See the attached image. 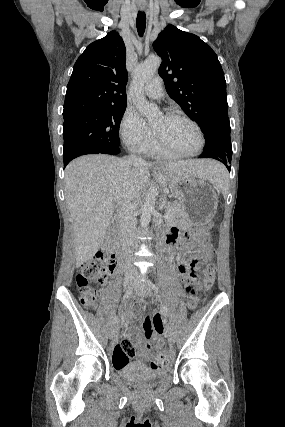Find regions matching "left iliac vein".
<instances>
[{"label": "left iliac vein", "mask_w": 285, "mask_h": 427, "mask_svg": "<svg viewBox=\"0 0 285 427\" xmlns=\"http://www.w3.org/2000/svg\"><path fill=\"white\" fill-rule=\"evenodd\" d=\"M134 289L137 294L142 296H149L151 294L150 287H148L145 284H140L136 282L134 283ZM166 337L170 344H174L175 338H174V334L171 326H168L167 328Z\"/></svg>", "instance_id": "4c4485c4"}]
</instances>
